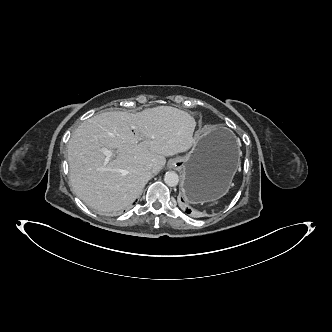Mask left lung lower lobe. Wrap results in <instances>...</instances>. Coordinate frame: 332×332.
Wrapping results in <instances>:
<instances>
[{"label":"left lung lower lobe","instance_id":"left-lung-lower-lobe-1","mask_svg":"<svg viewBox=\"0 0 332 332\" xmlns=\"http://www.w3.org/2000/svg\"><path fill=\"white\" fill-rule=\"evenodd\" d=\"M183 201V200H182ZM186 213L190 214L191 213V210L190 209H186Z\"/></svg>","mask_w":332,"mask_h":332}]
</instances>
